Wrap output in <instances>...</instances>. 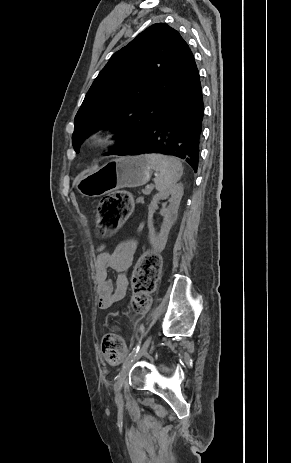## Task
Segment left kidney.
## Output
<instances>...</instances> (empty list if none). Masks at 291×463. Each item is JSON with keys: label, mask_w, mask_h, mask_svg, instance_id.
<instances>
[{"label": "left kidney", "mask_w": 291, "mask_h": 463, "mask_svg": "<svg viewBox=\"0 0 291 463\" xmlns=\"http://www.w3.org/2000/svg\"><path fill=\"white\" fill-rule=\"evenodd\" d=\"M184 190L183 185L177 184L173 185L165 191H160L159 193L153 196V199L149 205V214H148V228H149V240L153 249L162 252L166 246L168 235L172 225L177 220L178 208L180 205L181 198L183 196ZM169 199V205L166 207V204L163 205L160 210V214L163 216V223L161 225L160 233H155L153 215L158 209V203L160 200Z\"/></svg>", "instance_id": "1"}]
</instances>
